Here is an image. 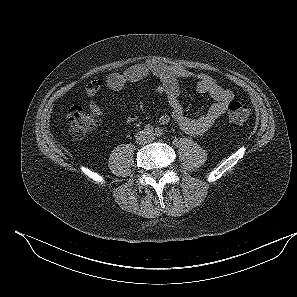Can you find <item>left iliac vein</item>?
<instances>
[{"label":"left iliac vein","mask_w":297,"mask_h":297,"mask_svg":"<svg viewBox=\"0 0 297 297\" xmlns=\"http://www.w3.org/2000/svg\"><path fill=\"white\" fill-rule=\"evenodd\" d=\"M148 141H153L154 140V136L151 134L147 137Z\"/></svg>","instance_id":"obj_1"}]
</instances>
